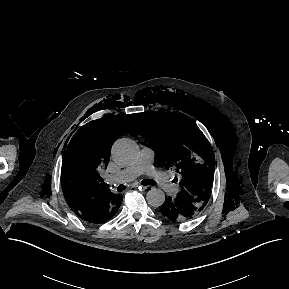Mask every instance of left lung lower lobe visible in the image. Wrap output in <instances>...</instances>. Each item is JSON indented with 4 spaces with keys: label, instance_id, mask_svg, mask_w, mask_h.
Instances as JSON below:
<instances>
[{
    "label": "left lung lower lobe",
    "instance_id": "0a47b994",
    "mask_svg": "<svg viewBox=\"0 0 289 289\" xmlns=\"http://www.w3.org/2000/svg\"><path fill=\"white\" fill-rule=\"evenodd\" d=\"M202 209L192 203L186 197L177 194L176 197L165 198V202L160 206L163 217L172 222H183L194 218Z\"/></svg>",
    "mask_w": 289,
    "mask_h": 289
}]
</instances>
